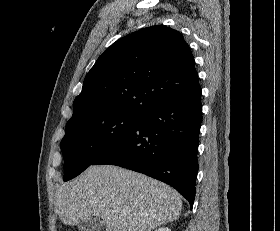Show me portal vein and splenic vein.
Masks as SVG:
<instances>
[{
  "instance_id": "portal-vein-and-splenic-vein-1",
  "label": "portal vein and splenic vein",
  "mask_w": 280,
  "mask_h": 231,
  "mask_svg": "<svg viewBox=\"0 0 280 231\" xmlns=\"http://www.w3.org/2000/svg\"><path fill=\"white\" fill-rule=\"evenodd\" d=\"M122 215H126L125 211H121Z\"/></svg>"
}]
</instances>
